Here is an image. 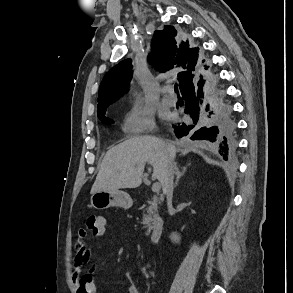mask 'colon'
I'll return each mask as SVG.
<instances>
[{"label":"colon","mask_w":293,"mask_h":293,"mask_svg":"<svg viewBox=\"0 0 293 293\" xmlns=\"http://www.w3.org/2000/svg\"><path fill=\"white\" fill-rule=\"evenodd\" d=\"M105 222V218L101 215L88 214L85 217L84 225L94 235H98L105 229Z\"/></svg>","instance_id":"colon-1"}]
</instances>
